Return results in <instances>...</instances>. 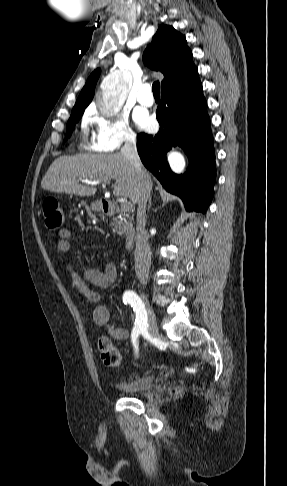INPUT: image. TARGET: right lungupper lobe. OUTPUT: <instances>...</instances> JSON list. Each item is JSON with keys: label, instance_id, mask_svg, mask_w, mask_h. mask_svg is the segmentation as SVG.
Returning <instances> with one entry per match:
<instances>
[{"label": "right lung upper lobe", "instance_id": "1", "mask_svg": "<svg viewBox=\"0 0 287 486\" xmlns=\"http://www.w3.org/2000/svg\"><path fill=\"white\" fill-rule=\"evenodd\" d=\"M192 58L185 37L168 25H161L158 28L143 54L144 63L149 68L163 73L162 90L174 88L198 77ZM99 75L100 69H96L89 76L76 100L72 114L83 113L90 104Z\"/></svg>", "mask_w": 287, "mask_h": 486}]
</instances>
